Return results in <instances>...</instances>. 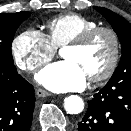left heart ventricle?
<instances>
[{
  "label": "left heart ventricle",
  "instance_id": "b2bd125f",
  "mask_svg": "<svg viewBox=\"0 0 131 131\" xmlns=\"http://www.w3.org/2000/svg\"><path fill=\"white\" fill-rule=\"evenodd\" d=\"M112 49V40L109 35L100 33L83 48L63 49L62 57L75 62L89 78L100 74L107 67L112 56Z\"/></svg>",
  "mask_w": 131,
  "mask_h": 131
}]
</instances>
